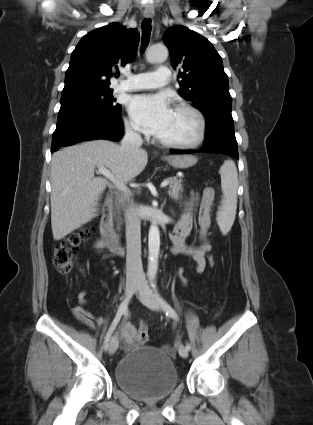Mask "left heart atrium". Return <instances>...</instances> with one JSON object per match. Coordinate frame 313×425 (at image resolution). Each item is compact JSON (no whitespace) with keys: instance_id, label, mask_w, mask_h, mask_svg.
I'll return each instance as SVG.
<instances>
[{"instance_id":"obj_1","label":"left heart atrium","mask_w":313,"mask_h":425,"mask_svg":"<svg viewBox=\"0 0 313 425\" xmlns=\"http://www.w3.org/2000/svg\"><path fill=\"white\" fill-rule=\"evenodd\" d=\"M172 112L164 95H137L129 103V113L138 129L156 136L165 130Z\"/></svg>"}]
</instances>
